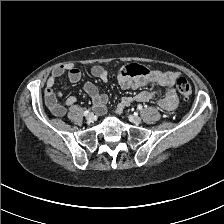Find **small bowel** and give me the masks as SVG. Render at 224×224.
<instances>
[{
  "label": "small bowel",
  "mask_w": 224,
  "mask_h": 224,
  "mask_svg": "<svg viewBox=\"0 0 224 224\" xmlns=\"http://www.w3.org/2000/svg\"><path fill=\"white\" fill-rule=\"evenodd\" d=\"M68 73V79L71 83H77L81 80V71L73 66H59L55 68L52 74L48 77L45 87V101L50 112L58 117L64 116L66 109L58 102L60 94L54 92L56 79ZM91 74L103 82L108 81V72L100 65H94L91 68ZM178 73L173 71H151L146 76H136L131 78L121 73L118 77V83L122 89H137L146 87L151 84H157L164 89V96L159 99V107L167 112L176 109L178 105V96L174 89V85ZM84 91L90 96L93 101L95 112L99 115L105 111V104L107 103V95L101 93L98 87L92 82H85L83 84ZM155 95V92L145 89L135 94L134 96L123 97L120 101L117 112L120 113L125 107L134 102H148ZM76 102L74 96H69L66 100L68 105H73Z\"/></svg>",
  "instance_id": "obj_1"
}]
</instances>
